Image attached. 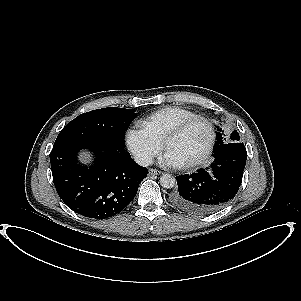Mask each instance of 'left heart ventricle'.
I'll return each instance as SVG.
<instances>
[{
    "mask_svg": "<svg viewBox=\"0 0 301 301\" xmlns=\"http://www.w3.org/2000/svg\"><path fill=\"white\" fill-rule=\"evenodd\" d=\"M208 141L209 129L205 123L198 121L173 138L168 143L167 150L189 163L205 151Z\"/></svg>",
    "mask_w": 301,
    "mask_h": 301,
    "instance_id": "1",
    "label": "left heart ventricle"
}]
</instances>
